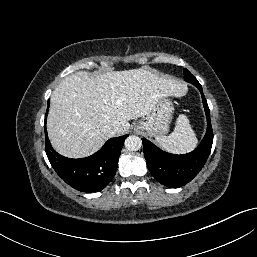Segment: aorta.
<instances>
[{"label":"aorta","mask_w":257,"mask_h":257,"mask_svg":"<svg viewBox=\"0 0 257 257\" xmlns=\"http://www.w3.org/2000/svg\"><path fill=\"white\" fill-rule=\"evenodd\" d=\"M124 145L128 151H137L142 146V140L138 136L131 135L126 138Z\"/></svg>","instance_id":"obj_1"}]
</instances>
